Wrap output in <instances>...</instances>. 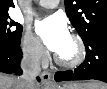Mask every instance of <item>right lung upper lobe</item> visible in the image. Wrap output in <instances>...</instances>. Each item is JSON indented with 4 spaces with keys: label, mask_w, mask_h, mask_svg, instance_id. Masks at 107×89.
Masks as SVG:
<instances>
[{
    "label": "right lung upper lobe",
    "mask_w": 107,
    "mask_h": 89,
    "mask_svg": "<svg viewBox=\"0 0 107 89\" xmlns=\"http://www.w3.org/2000/svg\"><path fill=\"white\" fill-rule=\"evenodd\" d=\"M9 7H14L13 0H0V15L8 14Z\"/></svg>",
    "instance_id": "1"
}]
</instances>
